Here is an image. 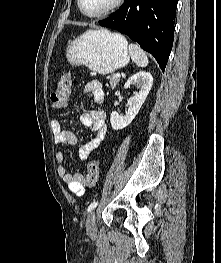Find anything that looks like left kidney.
Instances as JSON below:
<instances>
[{"label":"left kidney","instance_id":"1","mask_svg":"<svg viewBox=\"0 0 221 263\" xmlns=\"http://www.w3.org/2000/svg\"><path fill=\"white\" fill-rule=\"evenodd\" d=\"M152 83L153 77L146 71H139L127 80L124 87L127 89L131 85H136L138 92L128 100V111H126L125 115H119L115 111L111 113L110 122L114 130H121L132 122L146 100Z\"/></svg>","mask_w":221,"mask_h":263}]
</instances>
